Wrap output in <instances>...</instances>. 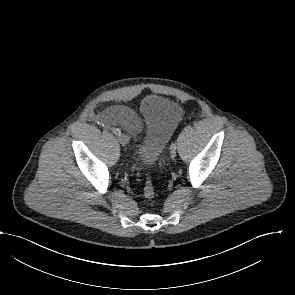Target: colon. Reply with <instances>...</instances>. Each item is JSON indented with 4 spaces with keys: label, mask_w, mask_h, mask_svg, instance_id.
<instances>
[{
    "label": "colon",
    "mask_w": 295,
    "mask_h": 295,
    "mask_svg": "<svg viewBox=\"0 0 295 295\" xmlns=\"http://www.w3.org/2000/svg\"><path fill=\"white\" fill-rule=\"evenodd\" d=\"M143 194H144L145 198H147V199H152L155 196L154 186H153L151 180H149V179L146 181V183L144 185Z\"/></svg>",
    "instance_id": "1"
}]
</instances>
